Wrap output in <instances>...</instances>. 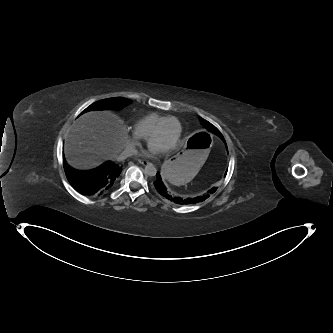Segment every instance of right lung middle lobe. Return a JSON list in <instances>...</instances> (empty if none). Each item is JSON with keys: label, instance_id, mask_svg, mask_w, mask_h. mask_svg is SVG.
I'll return each mask as SVG.
<instances>
[{"label": "right lung middle lobe", "instance_id": "1", "mask_svg": "<svg viewBox=\"0 0 333 333\" xmlns=\"http://www.w3.org/2000/svg\"><path fill=\"white\" fill-rule=\"evenodd\" d=\"M132 100L125 99L122 97L108 98L97 101L87 107L82 113L91 111V110H103V109H122L124 106L130 104Z\"/></svg>", "mask_w": 333, "mask_h": 333}]
</instances>
